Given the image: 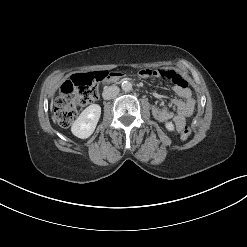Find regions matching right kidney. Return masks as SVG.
<instances>
[{
	"mask_svg": "<svg viewBox=\"0 0 247 247\" xmlns=\"http://www.w3.org/2000/svg\"><path fill=\"white\" fill-rule=\"evenodd\" d=\"M101 115V107L92 104L82 111L79 117L73 122L71 131L81 139H86L92 135Z\"/></svg>",
	"mask_w": 247,
	"mask_h": 247,
	"instance_id": "1",
	"label": "right kidney"
}]
</instances>
